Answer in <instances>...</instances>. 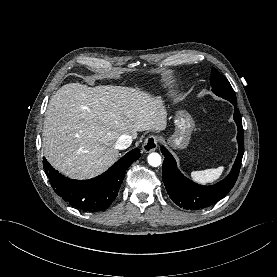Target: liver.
<instances>
[{
	"instance_id": "6515ba94",
	"label": "liver",
	"mask_w": 277,
	"mask_h": 277,
	"mask_svg": "<svg viewBox=\"0 0 277 277\" xmlns=\"http://www.w3.org/2000/svg\"><path fill=\"white\" fill-rule=\"evenodd\" d=\"M167 111L159 96L121 86H62L44 120L43 149L50 164L74 179H90L118 158L121 135L165 130Z\"/></svg>"
}]
</instances>
